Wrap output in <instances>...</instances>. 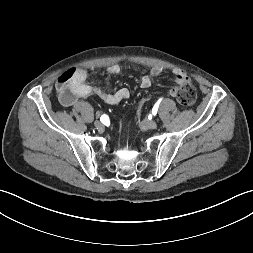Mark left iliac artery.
I'll return each instance as SVG.
<instances>
[{
    "instance_id": "left-iliac-artery-1",
    "label": "left iliac artery",
    "mask_w": 253,
    "mask_h": 253,
    "mask_svg": "<svg viewBox=\"0 0 253 253\" xmlns=\"http://www.w3.org/2000/svg\"><path fill=\"white\" fill-rule=\"evenodd\" d=\"M162 99H159L156 104L154 105L153 109H152V113L155 115L158 111V107H159V104L161 102Z\"/></svg>"
}]
</instances>
